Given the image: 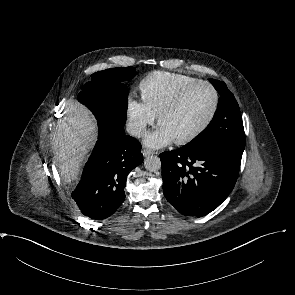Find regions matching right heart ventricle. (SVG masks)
Instances as JSON below:
<instances>
[{"mask_svg": "<svg viewBox=\"0 0 295 295\" xmlns=\"http://www.w3.org/2000/svg\"><path fill=\"white\" fill-rule=\"evenodd\" d=\"M195 81L196 78L188 75L155 71L141 81L140 91L143 100L156 115H159L183 88Z\"/></svg>", "mask_w": 295, "mask_h": 295, "instance_id": "obj_1", "label": "right heart ventricle"}]
</instances>
